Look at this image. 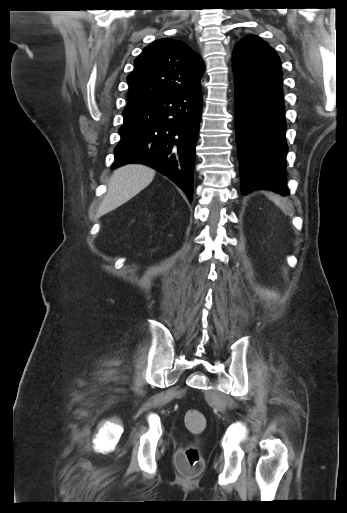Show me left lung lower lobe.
Segmentation results:
<instances>
[{"label":"left lung lower lobe","instance_id":"left-lung-lower-lobe-1","mask_svg":"<svg viewBox=\"0 0 347 513\" xmlns=\"http://www.w3.org/2000/svg\"><path fill=\"white\" fill-rule=\"evenodd\" d=\"M236 140L242 193L266 188L288 195L282 71L233 63Z\"/></svg>","mask_w":347,"mask_h":513}]
</instances>
